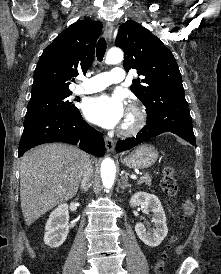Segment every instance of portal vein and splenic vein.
Listing matches in <instances>:
<instances>
[{
	"mask_svg": "<svg viewBox=\"0 0 221 274\" xmlns=\"http://www.w3.org/2000/svg\"><path fill=\"white\" fill-rule=\"evenodd\" d=\"M131 178L136 180L137 179V176L136 175H131Z\"/></svg>",
	"mask_w": 221,
	"mask_h": 274,
	"instance_id": "obj_1",
	"label": "portal vein and splenic vein"
}]
</instances>
